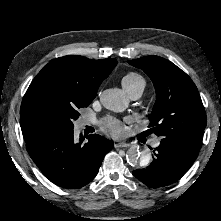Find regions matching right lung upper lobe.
Instances as JSON below:
<instances>
[{
	"mask_svg": "<svg viewBox=\"0 0 221 221\" xmlns=\"http://www.w3.org/2000/svg\"><path fill=\"white\" fill-rule=\"evenodd\" d=\"M116 64L114 58L92 60L77 55L49 62L33 79L21 104L20 125L24 139L57 131L55 123L36 110L33 104L36 93L45 92L92 102L100 84Z\"/></svg>",
	"mask_w": 221,
	"mask_h": 221,
	"instance_id": "obj_1",
	"label": "right lung upper lobe"
}]
</instances>
